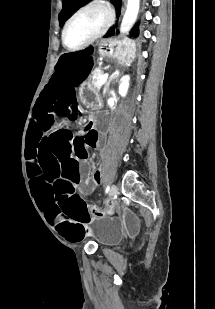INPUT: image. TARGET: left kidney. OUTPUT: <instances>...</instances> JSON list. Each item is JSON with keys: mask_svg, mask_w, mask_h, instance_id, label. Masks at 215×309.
I'll return each mask as SVG.
<instances>
[{"mask_svg": "<svg viewBox=\"0 0 215 309\" xmlns=\"http://www.w3.org/2000/svg\"><path fill=\"white\" fill-rule=\"evenodd\" d=\"M129 78L130 76H128V74H125V76H122L121 78V82L119 84V94H121V96H126L127 94V90H128V86H129Z\"/></svg>", "mask_w": 215, "mask_h": 309, "instance_id": "5707ae66", "label": "left kidney"}]
</instances>
